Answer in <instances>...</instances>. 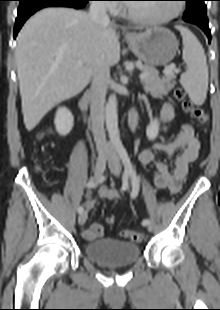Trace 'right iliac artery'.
Here are the masks:
<instances>
[{
	"instance_id": "82829eb1",
	"label": "right iliac artery",
	"mask_w": 220,
	"mask_h": 310,
	"mask_svg": "<svg viewBox=\"0 0 220 310\" xmlns=\"http://www.w3.org/2000/svg\"><path fill=\"white\" fill-rule=\"evenodd\" d=\"M95 186H96V183L92 179L88 181V183H87L88 188H94ZM83 210L84 209L82 206L78 207V213L81 214L83 212Z\"/></svg>"
}]
</instances>
